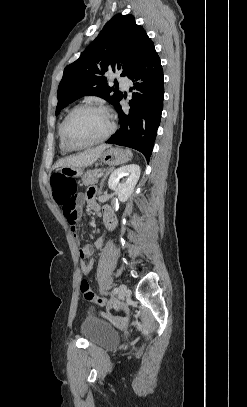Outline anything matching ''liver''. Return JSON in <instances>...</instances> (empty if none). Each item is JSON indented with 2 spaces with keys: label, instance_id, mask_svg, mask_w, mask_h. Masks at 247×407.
<instances>
[{
  "label": "liver",
  "instance_id": "6515ba94",
  "mask_svg": "<svg viewBox=\"0 0 247 407\" xmlns=\"http://www.w3.org/2000/svg\"><path fill=\"white\" fill-rule=\"evenodd\" d=\"M108 148V145L102 144L95 148L86 150L82 153L66 157L59 160L55 167H70V168H82L92 165L101 155V153Z\"/></svg>",
  "mask_w": 247,
  "mask_h": 407
}]
</instances>
